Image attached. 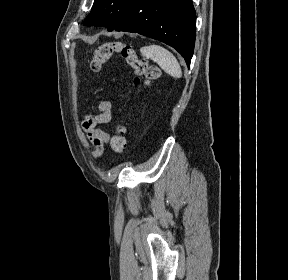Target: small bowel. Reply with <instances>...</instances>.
Listing matches in <instances>:
<instances>
[{"label": "small bowel", "mask_w": 288, "mask_h": 280, "mask_svg": "<svg viewBox=\"0 0 288 280\" xmlns=\"http://www.w3.org/2000/svg\"><path fill=\"white\" fill-rule=\"evenodd\" d=\"M99 113L97 115H87L81 122V126L87 138L94 146V156L100 157L105 146L110 140L108 133L99 128L100 125H105L113 119V104L108 100H102L98 104Z\"/></svg>", "instance_id": "1"}]
</instances>
